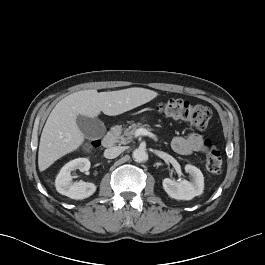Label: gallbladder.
Returning a JSON list of instances; mask_svg holds the SVG:
<instances>
[{
  "mask_svg": "<svg viewBox=\"0 0 265 265\" xmlns=\"http://www.w3.org/2000/svg\"><path fill=\"white\" fill-rule=\"evenodd\" d=\"M76 122L78 128L87 139L102 137L106 132L104 123L97 118L78 115Z\"/></svg>",
  "mask_w": 265,
  "mask_h": 265,
  "instance_id": "bac80fb5",
  "label": "gallbladder"
}]
</instances>
